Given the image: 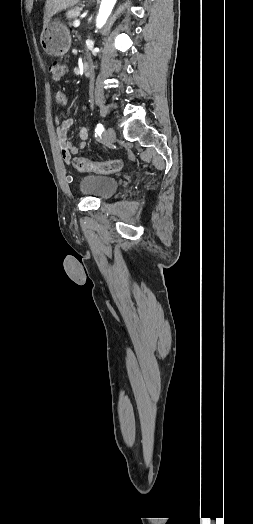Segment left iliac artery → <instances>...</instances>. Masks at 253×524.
<instances>
[{
  "mask_svg": "<svg viewBox=\"0 0 253 524\" xmlns=\"http://www.w3.org/2000/svg\"><path fill=\"white\" fill-rule=\"evenodd\" d=\"M103 130H104L103 125L99 123L95 129V132L100 136Z\"/></svg>",
  "mask_w": 253,
  "mask_h": 524,
  "instance_id": "44dca946",
  "label": "left iliac artery"
}]
</instances>
